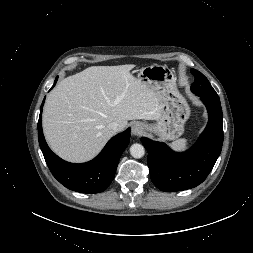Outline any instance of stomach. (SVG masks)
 <instances>
[{
	"label": "stomach",
	"instance_id": "1",
	"mask_svg": "<svg viewBox=\"0 0 253 253\" xmlns=\"http://www.w3.org/2000/svg\"><path fill=\"white\" fill-rule=\"evenodd\" d=\"M137 79L153 88L160 99V117L155 123H146V130L162 140L180 137L190 116V108L176 88L172 71L166 66L150 65L139 70Z\"/></svg>",
	"mask_w": 253,
	"mask_h": 253
}]
</instances>
